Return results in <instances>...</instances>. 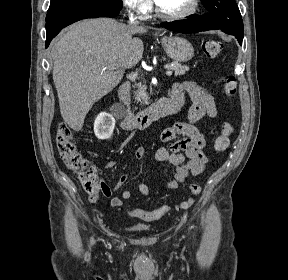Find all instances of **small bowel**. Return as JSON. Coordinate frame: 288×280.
<instances>
[{
    "label": "small bowel",
    "mask_w": 288,
    "mask_h": 280,
    "mask_svg": "<svg viewBox=\"0 0 288 280\" xmlns=\"http://www.w3.org/2000/svg\"><path fill=\"white\" fill-rule=\"evenodd\" d=\"M186 95L190 97L192 102L188 110L187 120L176 122L160 133V141L164 146L158 148L155 153L157 162L170 164L174 167L173 177L164 185V188L169 190L176 189L188 177L198 176L204 171L209 162L207 155L204 153L207 141L197 126V122L205 116L213 118L218 114L213 97L197 83L185 81L173 86V98L181 100L184 104ZM178 136L181 137L177 138ZM145 153L143 147H137L133 152V157L142 159ZM114 165L115 162L110 160L107 162L106 168H112ZM127 179L126 174L120 175L113 187L101 182L102 194L104 197L110 198L112 207H120L123 200L131 198L132 192L129 189L124 190L121 197L113 196L126 183ZM136 189L143 196H149L150 194L149 187L144 183H139ZM89 200L95 203L99 200V195H89Z\"/></svg>",
    "instance_id": "1"
}]
</instances>
